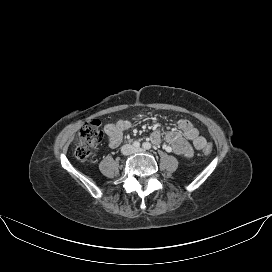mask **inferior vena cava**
Instances as JSON below:
<instances>
[{"label": "inferior vena cava", "instance_id": "1", "mask_svg": "<svg viewBox=\"0 0 272 272\" xmlns=\"http://www.w3.org/2000/svg\"><path fill=\"white\" fill-rule=\"evenodd\" d=\"M135 151H136V149L130 144H125L121 147V152L123 155H131Z\"/></svg>", "mask_w": 272, "mask_h": 272}]
</instances>
